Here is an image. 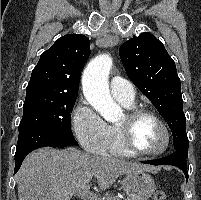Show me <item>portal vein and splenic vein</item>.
<instances>
[{
	"label": "portal vein and splenic vein",
	"instance_id": "obj_1",
	"mask_svg": "<svg viewBox=\"0 0 201 200\" xmlns=\"http://www.w3.org/2000/svg\"><path fill=\"white\" fill-rule=\"evenodd\" d=\"M82 196L88 198L89 200H99V198L93 194L92 192H90V187L87 186L81 193Z\"/></svg>",
	"mask_w": 201,
	"mask_h": 200
}]
</instances>
